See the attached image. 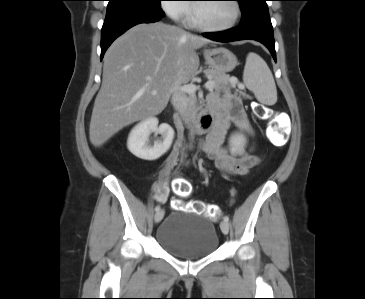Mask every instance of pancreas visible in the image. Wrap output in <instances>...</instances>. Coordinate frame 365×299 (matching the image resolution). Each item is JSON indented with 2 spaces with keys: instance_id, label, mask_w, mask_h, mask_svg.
I'll return each instance as SVG.
<instances>
[{
  "instance_id": "cf45deb5",
  "label": "pancreas",
  "mask_w": 365,
  "mask_h": 299,
  "mask_svg": "<svg viewBox=\"0 0 365 299\" xmlns=\"http://www.w3.org/2000/svg\"><path fill=\"white\" fill-rule=\"evenodd\" d=\"M207 78H209L211 81L214 82V89L217 91L224 90L229 91L230 90V77L225 74L218 72L213 69H206L204 71ZM241 95L245 96L244 93H241ZM198 112V106H197V99L195 95H190L187 98V107L185 111L182 113V119L184 121H189L196 117Z\"/></svg>"
}]
</instances>
